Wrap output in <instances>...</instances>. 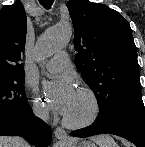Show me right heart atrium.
I'll use <instances>...</instances> for the list:
<instances>
[{"label": "right heart atrium", "instance_id": "obj_1", "mask_svg": "<svg viewBox=\"0 0 145 147\" xmlns=\"http://www.w3.org/2000/svg\"><path fill=\"white\" fill-rule=\"evenodd\" d=\"M32 111L36 118L44 120L47 117L45 105L36 97L32 98Z\"/></svg>", "mask_w": 145, "mask_h": 147}]
</instances>
